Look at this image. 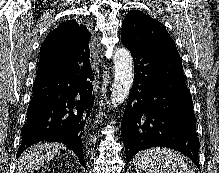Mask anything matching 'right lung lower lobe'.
<instances>
[{
    "mask_svg": "<svg viewBox=\"0 0 219 173\" xmlns=\"http://www.w3.org/2000/svg\"><path fill=\"white\" fill-rule=\"evenodd\" d=\"M93 79L90 61L82 56L70 54L62 62L39 61L17 157L40 141L62 142L87 168L82 140L94 103Z\"/></svg>",
    "mask_w": 219,
    "mask_h": 173,
    "instance_id": "obj_1",
    "label": "right lung lower lobe"
}]
</instances>
